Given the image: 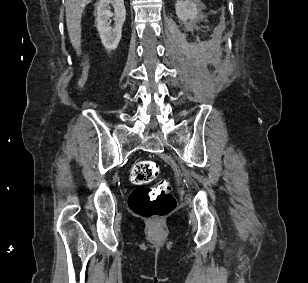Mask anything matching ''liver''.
Here are the masks:
<instances>
[{
    "label": "liver",
    "instance_id": "1",
    "mask_svg": "<svg viewBox=\"0 0 308 283\" xmlns=\"http://www.w3.org/2000/svg\"><path fill=\"white\" fill-rule=\"evenodd\" d=\"M92 0H66V23L72 46L76 51L81 47V17Z\"/></svg>",
    "mask_w": 308,
    "mask_h": 283
}]
</instances>
